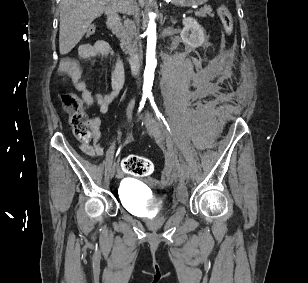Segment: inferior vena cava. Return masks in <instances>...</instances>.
<instances>
[{"mask_svg": "<svg viewBox=\"0 0 308 283\" xmlns=\"http://www.w3.org/2000/svg\"><path fill=\"white\" fill-rule=\"evenodd\" d=\"M138 11L137 7L135 6V4L133 2L128 3L127 8H126V12L128 14H136Z\"/></svg>", "mask_w": 308, "mask_h": 283, "instance_id": "inferior-vena-cava-1", "label": "inferior vena cava"}]
</instances>
